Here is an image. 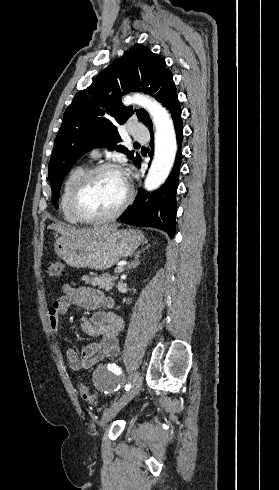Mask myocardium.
I'll use <instances>...</instances> for the list:
<instances>
[{
	"label": "myocardium",
	"instance_id": "obj_1",
	"mask_svg": "<svg viewBox=\"0 0 279 490\" xmlns=\"http://www.w3.org/2000/svg\"><path fill=\"white\" fill-rule=\"evenodd\" d=\"M104 171H114L121 173L125 179L126 186V197L123 202L118 206L116 210L113 212L101 215V216H92L86 213L83 207L84 196L89 188L90 183L94 179V177ZM133 200V190L129 186L126 178L124 169L113 163H101L95 166L88 168L80 177L73 194V209L78 218L86 223H102L114 220L121 216L123 212L128 208L130 203Z\"/></svg>",
	"mask_w": 279,
	"mask_h": 490
}]
</instances>
